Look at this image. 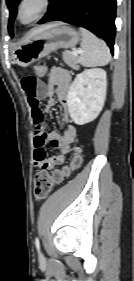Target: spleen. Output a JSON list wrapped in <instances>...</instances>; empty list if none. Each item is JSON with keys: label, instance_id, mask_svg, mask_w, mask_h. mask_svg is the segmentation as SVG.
Instances as JSON below:
<instances>
[{"label": "spleen", "instance_id": "1", "mask_svg": "<svg viewBox=\"0 0 134 281\" xmlns=\"http://www.w3.org/2000/svg\"><path fill=\"white\" fill-rule=\"evenodd\" d=\"M80 32L82 34V53L78 58V62L84 67L107 65L111 55L106 43L84 28H80Z\"/></svg>", "mask_w": 134, "mask_h": 281}]
</instances>
